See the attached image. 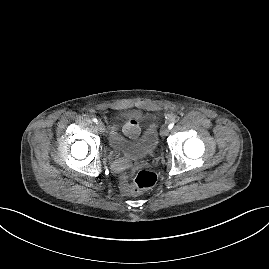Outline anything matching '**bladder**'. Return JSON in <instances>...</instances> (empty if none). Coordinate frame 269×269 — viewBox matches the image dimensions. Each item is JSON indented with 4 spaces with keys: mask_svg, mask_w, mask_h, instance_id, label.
Listing matches in <instances>:
<instances>
[{
    "mask_svg": "<svg viewBox=\"0 0 269 269\" xmlns=\"http://www.w3.org/2000/svg\"><path fill=\"white\" fill-rule=\"evenodd\" d=\"M129 116L130 114L122 115ZM108 143L112 152L117 155L146 157L152 155L158 146V130L155 123L149 121L136 137L129 139L120 133L118 123H115L109 132Z\"/></svg>",
    "mask_w": 269,
    "mask_h": 269,
    "instance_id": "bladder-1",
    "label": "bladder"
}]
</instances>
